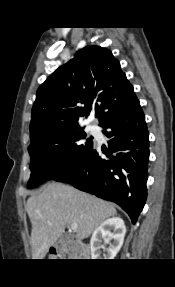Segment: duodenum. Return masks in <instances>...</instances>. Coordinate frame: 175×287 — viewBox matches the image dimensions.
<instances>
[{"label": "duodenum", "mask_w": 175, "mask_h": 287, "mask_svg": "<svg viewBox=\"0 0 175 287\" xmlns=\"http://www.w3.org/2000/svg\"><path fill=\"white\" fill-rule=\"evenodd\" d=\"M72 252H73V254H75V255H80L82 251L79 252V251L76 250V248H72Z\"/></svg>", "instance_id": "duodenum-1"}]
</instances>
